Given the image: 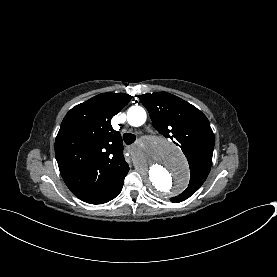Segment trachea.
Segmentation results:
<instances>
[{"mask_svg":"<svg viewBox=\"0 0 277 277\" xmlns=\"http://www.w3.org/2000/svg\"><path fill=\"white\" fill-rule=\"evenodd\" d=\"M123 140L127 145H131L136 140V136L131 133H126L123 135Z\"/></svg>","mask_w":277,"mask_h":277,"instance_id":"3493384b","label":"trachea"}]
</instances>
